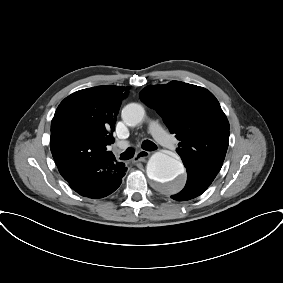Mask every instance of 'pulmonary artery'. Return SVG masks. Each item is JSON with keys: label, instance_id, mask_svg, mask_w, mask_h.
<instances>
[{"label": "pulmonary artery", "instance_id": "obj_1", "mask_svg": "<svg viewBox=\"0 0 283 283\" xmlns=\"http://www.w3.org/2000/svg\"><path fill=\"white\" fill-rule=\"evenodd\" d=\"M151 134L153 137L164 147L167 148H174L175 147V140L169 136L166 131L163 129V127L157 122L152 121L149 125ZM128 146V142H120L118 144L119 148H125Z\"/></svg>", "mask_w": 283, "mask_h": 283}]
</instances>
